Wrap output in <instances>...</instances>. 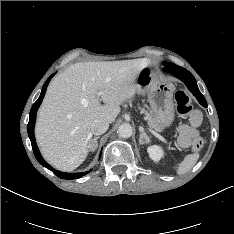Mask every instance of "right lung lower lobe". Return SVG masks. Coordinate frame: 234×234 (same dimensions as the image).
<instances>
[{
    "label": "right lung lower lobe",
    "instance_id": "right-lung-lower-lobe-1",
    "mask_svg": "<svg viewBox=\"0 0 234 234\" xmlns=\"http://www.w3.org/2000/svg\"><path fill=\"white\" fill-rule=\"evenodd\" d=\"M53 77V75H51L47 80L46 82L44 83L43 87H42V91H41V94L38 98V100L33 104L32 108H31V111H30V118H29V123H28V126H27V130H28V135H29V138L31 140V144H32V149H33V152H34V155L36 157V159L38 160V162L48 168L49 170H51L56 176H58L59 178H62V179H77V178H80L82 175H85L87 174L88 172H85V173H64V172H60L58 170H55L53 169L41 156L40 152H39V149L37 147V144H36V141H35V136H34V126H35V121H36V113H37V110L42 102V99L44 98V95H45V92H46V89H47V86L51 80V78ZM101 156V154H100Z\"/></svg>",
    "mask_w": 234,
    "mask_h": 234
}]
</instances>
